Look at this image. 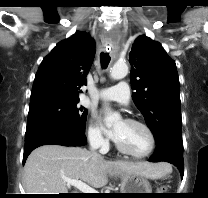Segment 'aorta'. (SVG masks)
<instances>
[{
	"mask_svg": "<svg viewBox=\"0 0 208 198\" xmlns=\"http://www.w3.org/2000/svg\"><path fill=\"white\" fill-rule=\"evenodd\" d=\"M128 74V66L126 63L117 62L111 68L110 76L114 80H120L124 78ZM121 116L117 112H112L107 109V116H106V126L111 127L114 123L119 121Z\"/></svg>",
	"mask_w": 208,
	"mask_h": 198,
	"instance_id": "obj_1",
	"label": "aorta"
}]
</instances>
